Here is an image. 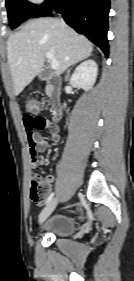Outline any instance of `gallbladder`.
<instances>
[{
	"label": "gallbladder",
	"mask_w": 134,
	"mask_h": 281,
	"mask_svg": "<svg viewBox=\"0 0 134 281\" xmlns=\"http://www.w3.org/2000/svg\"><path fill=\"white\" fill-rule=\"evenodd\" d=\"M50 74L47 71H43L40 73L39 78L40 80H47L49 78Z\"/></svg>",
	"instance_id": "obj_1"
}]
</instances>
